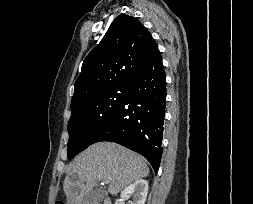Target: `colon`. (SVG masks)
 Masks as SVG:
<instances>
[{"label": "colon", "mask_w": 253, "mask_h": 204, "mask_svg": "<svg viewBox=\"0 0 253 204\" xmlns=\"http://www.w3.org/2000/svg\"><path fill=\"white\" fill-rule=\"evenodd\" d=\"M55 204H65V203L63 201L58 200L55 202Z\"/></svg>", "instance_id": "colon-1"}]
</instances>
